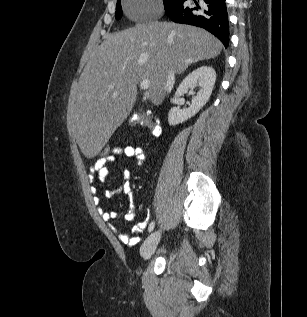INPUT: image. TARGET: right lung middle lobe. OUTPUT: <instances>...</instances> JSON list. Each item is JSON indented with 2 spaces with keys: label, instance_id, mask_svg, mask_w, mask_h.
Returning a JSON list of instances; mask_svg holds the SVG:
<instances>
[{
  "label": "right lung middle lobe",
  "instance_id": "obj_1",
  "mask_svg": "<svg viewBox=\"0 0 307 317\" xmlns=\"http://www.w3.org/2000/svg\"><path fill=\"white\" fill-rule=\"evenodd\" d=\"M163 1H164L165 8H167L173 3L174 0H163ZM121 16H122L121 3H120V0H118L116 5L115 17L116 19H119Z\"/></svg>",
  "mask_w": 307,
  "mask_h": 317
}]
</instances>
